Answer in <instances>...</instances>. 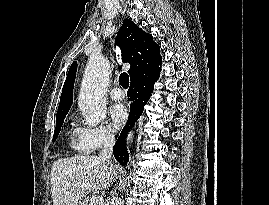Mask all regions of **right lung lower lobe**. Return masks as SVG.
Masks as SVG:
<instances>
[{"label":"right lung lower lobe","instance_id":"1","mask_svg":"<svg viewBox=\"0 0 269 205\" xmlns=\"http://www.w3.org/2000/svg\"><path fill=\"white\" fill-rule=\"evenodd\" d=\"M158 78L159 74L153 73L131 82L128 91V99L132 100V104L130 106L128 121L113 148V154L116 160L123 166H125L129 160L126 148L128 131L142 114L144 105L149 100L153 91V85Z\"/></svg>","mask_w":269,"mask_h":205}]
</instances>
